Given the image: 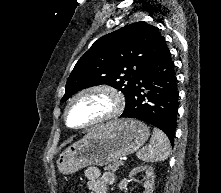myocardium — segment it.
Masks as SVG:
<instances>
[{
    "mask_svg": "<svg viewBox=\"0 0 221 193\" xmlns=\"http://www.w3.org/2000/svg\"><path fill=\"white\" fill-rule=\"evenodd\" d=\"M90 95H97L104 97L108 105L105 108V110L94 117L89 122L83 124L74 126L71 125L69 122V112L72 108V106L77 102L80 98L90 96ZM124 97L122 93L115 87L108 85V84H95L91 85L85 88L80 89L77 91L67 102L65 109H64V121L67 127L74 129V130H88L95 126L104 124L106 122H109L115 118H117L124 109Z\"/></svg>",
    "mask_w": 221,
    "mask_h": 193,
    "instance_id": "1",
    "label": "myocardium"
}]
</instances>
